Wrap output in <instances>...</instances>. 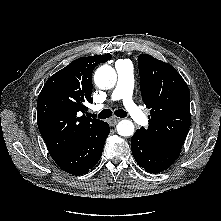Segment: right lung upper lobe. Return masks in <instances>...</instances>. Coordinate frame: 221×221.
I'll return each instance as SVG.
<instances>
[{
  "label": "right lung upper lobe",
  "mask_w": 221,
  "mask_h": 221,
  "mask_svg": "<svg viewBox=\"0 0 221 221\" xmlns=\"http://www.w3.org/2000/svg\"><path fill=\"white\" fill-rule=\"evenodd\" d=\"M112 56L81 57L45 83L37 101V123L50 156H58L103 121L81 116L92 102L91 75L96 65Z\"/></svg>",
  "instance_id": "obj_1"
}]
</instances>
